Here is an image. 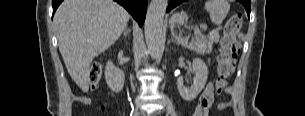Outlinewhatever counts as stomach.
<instances>
[{"mask_svg":"<svg viewBox=\"0 0 305 116\" xmlns=\"http://www.w3.org/2000/svg\"><path fill=\"white\" fill-rule=\"evenodd\" d=\"M187 16L185 13H176L172 16L171 18V22L174 23V24H178V25H181V24H184L185 20H186Z\"/></svg>","mask_w":305,"mask_h":116,"instance_id":"obj_1","label":"stomach"}]
</instances>
